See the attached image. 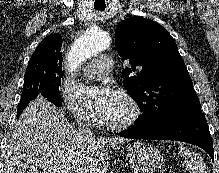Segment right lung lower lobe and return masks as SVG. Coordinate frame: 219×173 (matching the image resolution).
Wrapping results in <instances>:
<instances>
[{
    "label": "right lung lower lobe",
    "mask_w": 219,
    "mask_h": 173,
    "mask_svg": "<svg viewBox=\"0 0 219 173\" xmlns=\"http://www.w3.org/2000/svg\"><path fill=\"white\" fill-rule=\"evenodd\" d=\"M38 96L37 94H27L25 96H21V101L18 105V109H17V117H19L21 115V113L23 112V110L27 107V105L30 103L31 100H33L34 98H36Z\"/></svg>",
    "instance_id": "obj_1"
}]
</instances>
